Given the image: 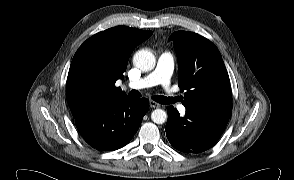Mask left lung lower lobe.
Returning <instances> with one entry per match:
<instances>
[{"instance_id":"1","label":"left lung lower lobe","mask_w":294,"mask_h":180,"mask_svg":"<svg viewBox=\"0 0 294 180\" xmlns=\"http://www.w3.org/2000/svg\"><path fill=\"white\" fill-rule=\"evenodd\" d=\"M166 136L171 145L185 153H200L212 147L222 135L231 111L186 108L181 117L173 107H167Z\"/></svg>"}]
</instances>
